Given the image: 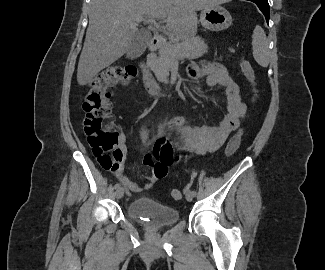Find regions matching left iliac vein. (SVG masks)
<instances>
[{"label":"left iliac vein","mask_w":325,"mask_h":270,"mask_svg":"<svg viewBox=\"0 0 325 270\" xmlns=\"http://www.w3.org/2000/svg\"><path fill=\"white\" fill-rule=\"evenodd\" d=\"M185 196H186V200L189 202L192 201L193 197H194V195L192 194V191H190V190L186 191Z\"/></svg>","instance_id":"1"}]
</instances>
